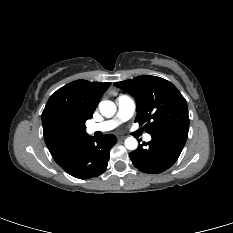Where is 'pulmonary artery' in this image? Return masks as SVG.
Listing matches in <instances>:
<instances>
[{
    "instance_id": "obj_1",
    "label": "pulmonary artery",
    "mask_w": 233,
    "mask_h": 233,
    "mask_svg": "<svg viewBox=\"0 0 233 233\" xmlns=\"http://www.w3.org/2000/svg\"><path fill=\"white\" fill-rule=\"evenodd\" d=\"M117 106L118 111L116 116L113 119L90 124L87 127L88 133H95V132H107L116 128L120 123L128 120L132 117L135 111V102L134 100L128 95H120L117 98ZM145 141L151 140V135L146 134L144 136Z\"/></svg>"
}]
</instances>
